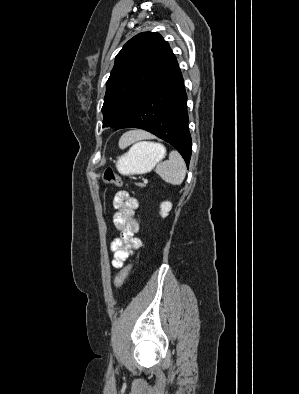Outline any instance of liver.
I'll return each instance as SVG.
<instances>
[{
    "instance_id": "liver-1",
    "label": "liver",
    "mask_w": 299,
    "mask_h": 394,
    "mask_svg": "<svg viewBox=\"0 0 299 394\" xmlns=\"http://www.w3.org/2000/svg\"><path fill=\"white\" fill-rule=\"evenodd\" d=\"M149 136L150 135L145 131H131L126 134V137L128 139V144H130L136 140L142 139V138H147Z\"/></svg>"
}]
</instances>
